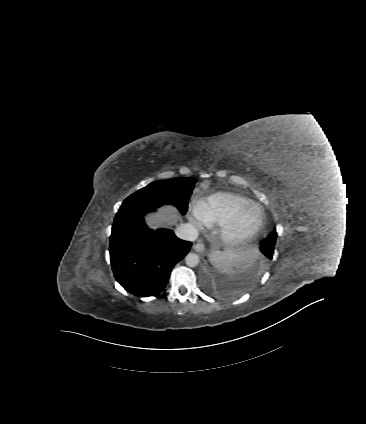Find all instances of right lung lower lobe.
<instances>
[{"label":"right lung lower lobe","instance_id":"right-lung-lower-lobe-1","mask_svg":"<svg viewBox=\"0 0 366 424\" xmlns=\"http://www.w3.org/2000/svg\"><path fill=\"white\" fill-rule=\"evenodd\" d=\"M154 209H131L116 214L110 237V260L116 280L131 294L155 296L170 272L190 250L191 242L171 230L153 231L144 215Z\"/></svg>","mask_w":366,"mask_h":424}]
</instances>
